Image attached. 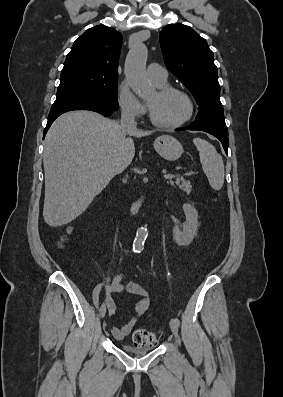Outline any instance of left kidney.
I'll list each match as a JSON object with an SVG mask.
<instances>
[{
    "instance_id": "left-kidney-1",
    "label": "left kidney",
    "mask_w": 283,
    "mask_h": 397,
    "mask_svg": "<svg viewBox=\"0 0 283 397\" xmlns=\"http://www.w3.org/2000/svg\"><path fill=\"white\" fill-rule=\"evenodd\" d=\"M183 210L186 215V221L182 224V230L179 227L173 229V239L178 245L187 246L197 234L199 226L198 212L194 206L186 203L183 204Z\"/></svg>"
}]
</instances>
